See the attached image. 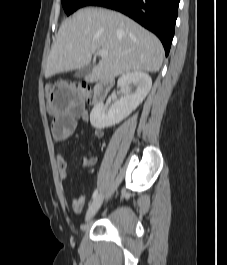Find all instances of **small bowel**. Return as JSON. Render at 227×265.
Returning <instances> with one entry per match:
<instances>
[{
  "label": "small bowel",
  "mask_w": 227,
  "mask_h": 265,
  "mask_svg": "<svg viewBox=\"0 0 227 265\" xmlns=\"http://www.w3.org/2000/svg\"><path fill=\"white\" fill-rule=\"evenodd\" d=\"M84 92L78 91V87H56L53 91L50 102H48V111L52 117V135L56 141H64L70 138L77 127L79 119L89 120V113L84 108L87 107V99H84ZM94 135L101 139L104 131L101 128H95ZM95 156H85L82 160L84 167H92L96 164ZM59 179L65 182L68 178V162L63 156H58L56 160ZM85 205L83 195L77 196L72 201V208L75 213H81Z\"/></svg>",
  "instance_id": "small-bowel-1"
}]
</instances>
